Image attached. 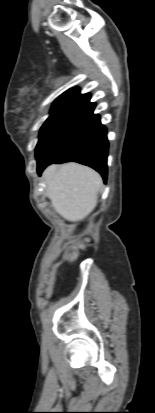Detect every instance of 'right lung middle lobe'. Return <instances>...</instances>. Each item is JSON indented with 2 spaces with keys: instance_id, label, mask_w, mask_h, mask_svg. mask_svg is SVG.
<instances>
[{
  "instance_id": "obj_1",
  "label": "right lung middle lobe",
  "mask_w": 155,
  "mask_h": 413,
  "mask_svg": "<svg viewBox=\"0 0 155 413\" xmlns=\"http://www.w3.org/2000/svg\"><path fill=\"white\" fill-rule=\"evenodd\" d=\"M79 107H68L51 112L41 127L36 146L37 162H42L62 138Z\"/></svg>"
}]
</instances>
